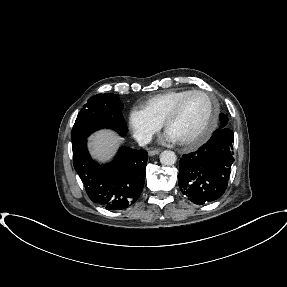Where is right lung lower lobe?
<instances>
[{"label": "right lung lower lobe", "mask_w": 287, "mask_h": 287, "mask_svg": "<svg viewBox=\"0 0 287 287\" xmlns=\"http://www.w3.org/2000/svg\"><path fill=\"white\" fill-rule=\"evenodd\" d=\"M147 151L122 146L108 164L93 161L87 140L73 148V164L89 198L115 211L131 206L140 196L145 182Z\"/></svg>", "instance_id": "obj_1"}]
</instances>
